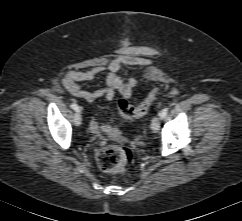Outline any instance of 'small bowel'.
Masks as SVG:
<instances>
[{
  "mask_svg": "<svg viewBox=\"0 0 242 221\" xmlns=\"http://www.w3.org/2000/svg\"><path fill=\"white\" fill-rule=\"evenodd\" d=\"M137 63V56L124 52L113 59L107 67L99 66L87 71L67 70L64 74L62 84L72 96L88 102H93L100 98L112 100L116 93L121 94L124 98H129L138 82L135 78L125 80L122 73L126 65ZM106 70L108 71V75L104 87L94 91H87L82 88V82L92 81ZM108 128L107 124H101L96 118H92L89 123V129L94 134L105 132Z\"/></svg>",
  "mask_w": 242,
  "mask_h": 221,
  "instance_id": "1",
  "label": "small bowel"
}]
</instances>
